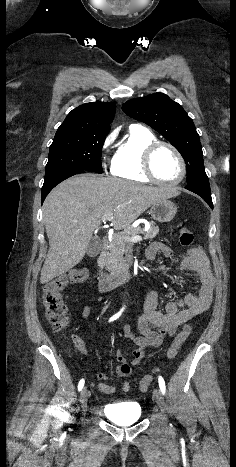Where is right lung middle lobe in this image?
<instances>
[{
    "label": "right lung middle lobe",
    "instance_id": "1",
    "mask_svg": "<svg viewBox=\"0 0 236 467\" xmlns=\"http://www.w3.org/2000/svg\"><path fill=\"white\" fill-rule=\"evenodd\" d=\"M108 133L57 130L45 177L70 169L102 173L101 152Z\"/></svg>",
    "mask_w": 236,
    "mask_h": 467
}]
</instances>
